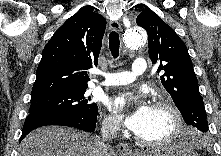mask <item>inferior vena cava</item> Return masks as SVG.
I'll use <instances>...</instances> for the list:
<instances>
[{
  "instance_id": "inferior-vena-cava-1",
  "label": "inferior vena cava",
  "mask_w": 221,
  "mask_h": 156,
  "mask_svg": "<svg viewBox=\"0 0 221 156\" xmlns=\"http://www.w3.org/2000/svg\"><path fill=\"white\" fill-rule=\"evenodd\" d=\"M118 131V125L115 121L112 120H106L104 121L101 129V137L102 139L99 140L98 145L103 153H106L110 145L108 144V141L113 139Z\"/></svg>"
}]
</instances>
